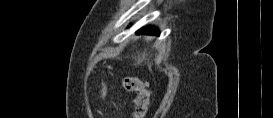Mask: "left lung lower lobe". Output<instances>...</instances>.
<instances>
[{"label":"left lung lower lobe","mask_w":273,"mask_h":118,"mask_svg":"<svg viewBox=\"0 0 273 118\" xmlns=\"http://www.w3.org/2000/svg\"><path fill=\"white\" fill-rule=\"evenodd\" d=\"M137 33L138 34L159 35L158 29L155 27H150V26L140 29Z\"/></svg>","instance_id":"0a47b994"}]
</instances>
